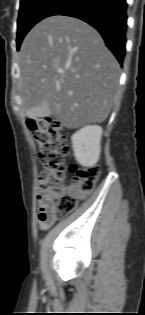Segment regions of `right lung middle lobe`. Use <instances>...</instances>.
Returning a JSON list of instances; mask_svg holds the SVG:
<instances>
[{
    "instance_id": "right-lung-middle-lobe-1",
    "label": "right lung middle lobe",
    "mask_w": 145,
    "mask_h": 315,
    "mask_svg": "<svg viewBox=\"0 0 145 315\" xmlns=\"http://www.w3.org/2000/svg\"><path fill=\"white\" fill-rule=\"evenodd\" d=\"M66 0H21L17 21V50L28 31L39 21L50 16Z\"/></svg>"
}]
</instances>
